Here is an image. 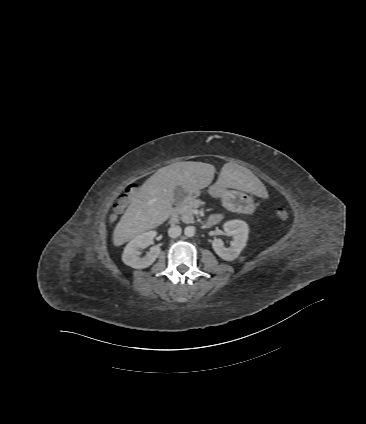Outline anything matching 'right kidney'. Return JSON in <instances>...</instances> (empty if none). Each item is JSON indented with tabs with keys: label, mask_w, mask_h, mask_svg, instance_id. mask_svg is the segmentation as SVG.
<instances>
[{
	"label": "right kidney",
	"mask_w": 366,
	"mask_h": 424,
	"mask_svg": "<svg viewBox=\"0 0 366 424\" xmlns=\"http://www.w3.org/2000/svg\"><path fill=\"white\" fill-rule=\"evenodd\" d=\"M156 234V231H147L133 238L124 249L122 261L135 269H143L152 265L161 253L160 247L152 246L144 257L140 256L139 250L150 246Z\"/></svg>",
	"instance_id": "right-kidney-1"
}]
</instances>
